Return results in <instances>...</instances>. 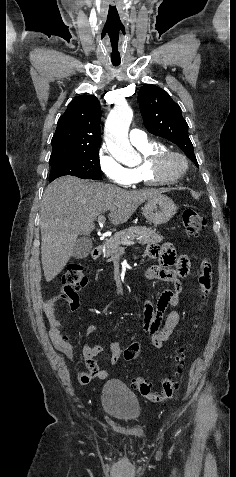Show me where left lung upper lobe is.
<instances>
[{"label":"left lung upper lobe","instance_id":"5c2ea615","mask_svg":"<svg viewBox=\"0 0 236 477\" xmlns=\"http://www.w3.org/2000/svg\"><path fill=\"white\" fill-rule=\"evenodd\" d=\"M139 107L146 129L175 143L198 166L193 145L188 136V124L181 108L163 89L153 84L140 88Z\"/></svg>","mask_w":236,"mask_h":477}]
</instances>
